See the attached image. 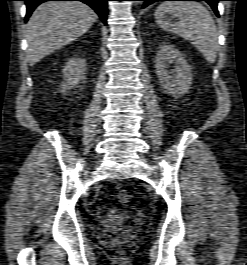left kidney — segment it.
<instances>
[{"mask_svg": "<svg viewBox=\"0 0 247 265\" xmlns=\"http://www.w3.org/2000/svg\"><path fill=\"white\" fill-rule=\"evenodd\" d=\"M155 63L156 74L166 93L179 96L188 92L192 84L191 66L178 49L164 43L156 55ZM172 63L175 67L168 71L167 68Z\"/></svg>", "mask_w": 247, "mask_h": 265, "instance_id": "left-kidney-1", "label": "left kidney"}]
</instances>
